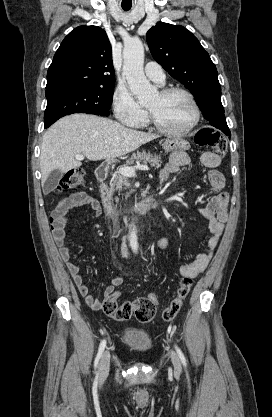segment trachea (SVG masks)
I'll use <instances>...</instances> for the list:
<instances>
[{
    "label": "trachea",
    "instance_id": "obj_1",
    "mask_svg": "<svg viewBox=\"0 0 272 417\" xmlns=\"http://www.w3.org/2000/svg\"><path fill=\"white\" fill-rule=\"evenodd\" d=\"M122 8H123V10L128 11V10H130L131 7H122Z\"/></svg>",
    "mask_w": 272,
    "mask_h": 417
}]
</instances>
